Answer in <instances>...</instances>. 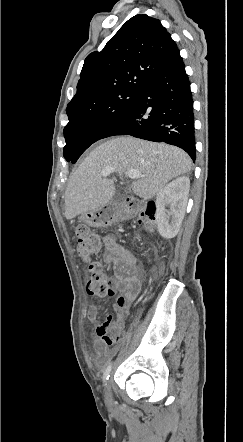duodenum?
<instances>
[{
  "mask_svg": "<svg viewBox=\"0 0 243 442\" xmlns=\"http://www.w3.org/2000/svg\"><path fill=\"white\" fill-rule=\"evenodd\" d=\"M118 211L126 214L127 216H132L137 211V203L133 199H125L121 202Z\"/></svg>",
  "mask_w": 243,
  "mask_h": 442,
  "instance_id": "obj_1",
  "label": "duodenum"
}]
</instances>
